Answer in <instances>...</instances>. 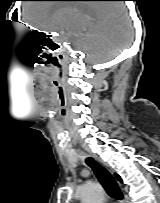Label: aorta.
I'll list each match as a JSON object with an SVG mask.
<instances>
[{
    "instance_id": "1",
    "label": "aorta",
    "mask_w": 160,
    "mask_h": 203,
    "mask_svg": "<svg viewBox=\"0 0 160 203\" xmlns=\"http://www.w3.org/2000/svg\"><path fill=\"white\" fill-rule=\"evenodd\" d=\"M82 203H104V192L96 182H88L80 189Z\"/></svg>"
}]
</instances>
